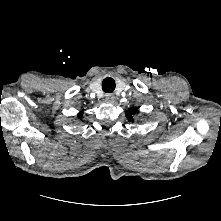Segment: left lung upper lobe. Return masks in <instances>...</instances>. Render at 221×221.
<instances>
[{
  "mask_svg": "<svg viewBox=\"0 0 221 221\" xmlns=\"http://www.w3.org/2000/svg\"><path fill=\"white\" fill-rule=\"evenodd\" d=\"M137 113V108H130L128 111L125 112L128 121H133V115Z\"/></svg>",
  "mask_w": 221,
  "mask_h": 221,
  "instance_id": "5c2ea615",
  "label": "left lung upper lobe"
}]
</instances>
